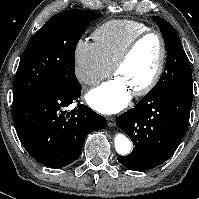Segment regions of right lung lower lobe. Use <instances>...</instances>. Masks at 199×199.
<instances>
[{
	"instance_id": "right-lung-lower-lobe-1",
	"label": "right lung lower lobe",
	"mask_w": 199,
	"mask_h": 199,
	"mask_svg": "<svg viewBox=\"0 0 199 199\" xmlns=\"http://www.w3.org/2000/svg\"><path fill=\"white\" fill-rule=\"evenodd\" d=\"M80 95L81 89L56 90L12 110L21 143L39 163L50 168L69 165L79 157L86 136L106 126V119L88 106L65 110Z\"/></svg>"
}]
</instances>
